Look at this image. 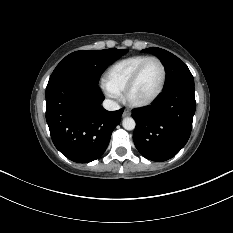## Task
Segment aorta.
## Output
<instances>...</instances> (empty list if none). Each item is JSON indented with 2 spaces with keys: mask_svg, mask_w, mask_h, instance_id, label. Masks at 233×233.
I'll list each match as a JSON object with an SVG mask.
<instances>
[{
  "mask_svg": "<svg viewBox=\"0 0 233 233\" xmlns=\"http://www.w3.org/2000/svg\"><path fill=\"white\" fill-rule=\"evenodd\" d=\"M123 128L126 130H133L135 128V120L131 117H126L122 121Z\"/></svg>",
  "mask_w": 233,
  "mask_h": 233,
  "instance_id": "1",
  "label": "aorta"
}]
</instances>
